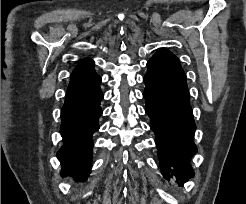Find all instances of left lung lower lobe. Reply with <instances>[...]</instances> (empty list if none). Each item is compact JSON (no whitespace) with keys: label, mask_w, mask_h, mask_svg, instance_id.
<instances>
[{"label":"left lung lower lobe","mask_w":246,"mask_h":204,"mask_svg":"<svg viewBox=\"0 0 246 204\" xmlns=\"http://www.w3.org/2000/svg\"><path fill=\"white\" fill-rule=\"evenodd\" d=\"M147 67L143 96L161 172L166 179L176 177L182 183L194 175L189 160L197 152L186 75L178 58L165 49H159Z\"/></svg>","instance_id":"0a47b994"}]
</instances>
